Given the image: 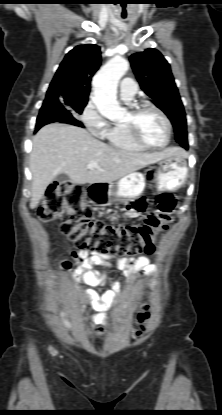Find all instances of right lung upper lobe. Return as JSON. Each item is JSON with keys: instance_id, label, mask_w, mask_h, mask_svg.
Listing matches in <instances>:
<instances>
[{"instance_id": "right-lung-upper-lobe-1", "label": "right lung upper lobe", "mask_w": 222, "mask_h": 415, "mask_svg": "<svg viewBox=\"0 0 222 415\" xmlns=\"http://www.w3.org/2000/svg\"><path fill=\"white\" fill-rule=\"evenodd\" d=\"M101 65L100 47L79 45L72 49L60 64L47 91L45 101L59 98L88 101L92 76ZM44 106H54L44 104Z\"/></svg>"}]
</instances>
